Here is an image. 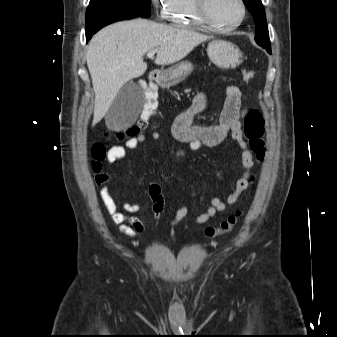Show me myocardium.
<instances>
[{"mask_svg": "<svg viewBox=\"0 0 337 337\" xmlns=\"http://www.w3.org/2000/svg\"><path fill=\"white\" fill-rule=\"evenodd\" d=\"M240 6H241V17L240 19L231 24V25H220L216 23L210 16L209 11H208V0H194L195 4V10L197 13L198 18L200 21L208 26L210 29L217 31V32H229L232 31L236 28H238L245 20L246 15H247V6L244 0H238Z\"/></svg>", "mask_w": 337, "mask_h": 337, "instance_id": "1", "label": "myocardium"}]
</instances>
